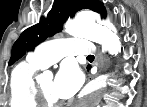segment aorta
Returning a JSON list of instances; mask_svg holds the SVG:
<instances>
[{
	"mask_svg": "<svg viewBox=\"0 0 147 107\" xmlns=\"http://www.w3.org/2000/svg\"><path fill=\"white\" fill-rule=\"evenodd\" d=\"M65 31L71 36L99 43L103 50L112 55H117L121 51L120 39L112 27L99 24L94 19L78 17L65 25ZM44 75H50V73L45 72ZM107 77L108 75H103L87 85V92L83 97L86 107L96 106L101 101Z\"/></svg>",
	"mask_w": 147,
	"mask_h": 107,
	"instance_id": "1",
	"label": "aorta"
}]
</instances>
